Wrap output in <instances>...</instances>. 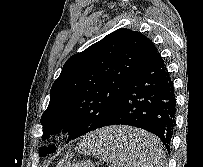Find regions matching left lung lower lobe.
Masks as SVG:
<instances>
[{
  "instance_id": "1",
  "label": "left lung lower lobe",
  "mask_w": 203,
  "mask_h": 167,
  "mask_svg": "<svg viewBox=\"0 0 203 167\" xmlns=\"http://www.w3.org/2000/svg\"><path fill=\"white\" fill-rule=\"evenodd\" d=\"M175 112L173 81L163 58L155 48L123 89L115 112L99 128L110 125L142 128L158 136L169 152ZM107 146L124 147L125 142L109 138L106 140ZM55 149L54 147L52 152Z\"/></svg>"
}]
</instances>
